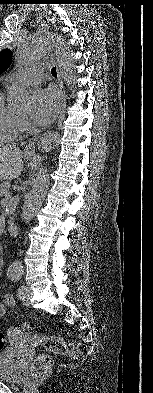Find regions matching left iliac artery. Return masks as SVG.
Returning <instances> with one entry per match:
<instances>
[{
  "mask_svg": "<svg viewBox=\"0 0 153 393\" xmlns=\"http://www.w3.org/2000/svg\"><path fill=\"white\" fill-rule=\"evenodd\" d=\"M8 276H9V278H11L12 281H15V282L19 281L21 279V275L20 274H16V273H9ZM23 289H24V286H21L18 289L19 296H21L23 294Z\"/></svg>",
  "mask_w": 153,
  "mask_h": 393,
  "instance_id": "44dca946",
  "label": "left iliac artery"
}]
</instances>
